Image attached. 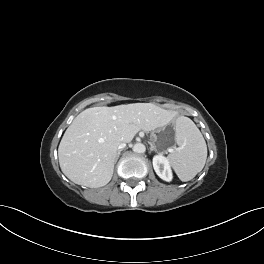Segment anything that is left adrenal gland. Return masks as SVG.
Returning <instances> with one entry per match:
<instances>
[{
  "label": "left adrenal gland",
  "instance_id": "obj_1",
  "mask_svg": "<svg viewBox=\"0 0 264 264\" xmlns=\"http://www.w3.org/2000/svg\"><path fill=\"white\" fill-rule=\"evenodd\" d=\"M149 144H150V152L152 151L158 152L156 146L152 142H149Z\"/></svg>",
  "mask_w": 264,
  "mask_h": 264
}]
</instances>
